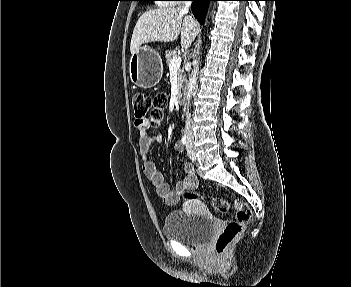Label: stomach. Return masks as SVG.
I'll use <instances>...</instances> for the list:
<instances>
[{"instance_id":"0dacf381","label":"stomach","mask_w":351,"mask_h":287,"mask_svg":"<svg viewBox=\"0 0 351 287\" xmlns=\"http://www.w3.org/2000/svg\"><path fill=\"white\" fill-rule=\"evenodd\" d=\"M130 79L138 87L148 89L157 85L163 74L160 54L147 47H140L131 55L129 62Z\"/></svg>"}]
</instances>
